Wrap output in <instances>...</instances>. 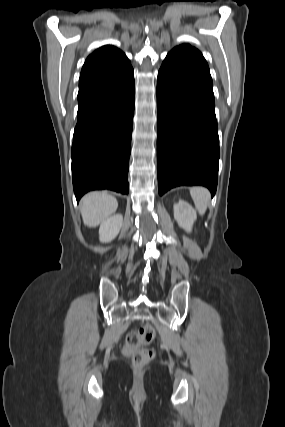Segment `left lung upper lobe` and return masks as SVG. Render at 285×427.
I'll list each match as a JSON object with an SVG mask.
<instances>
[{
    "mask_svg": "<svg viewBox=\"0 0 285 427\" xmlns=\"http://www.w3.org/2000/svg\"><path fill=\"white\" fill-rule=\"evenodd\" d=\"M169 53L179 54L190 58L195 64L209 72L208 64L199 50L189 44H182L175 47Z\"/></svg>",
    "mask_w": 285,
    "mask_h": 427,
    "instance_id": "5c2ea615",
    "label": "left lung upper lobe"
}]
</instances>
